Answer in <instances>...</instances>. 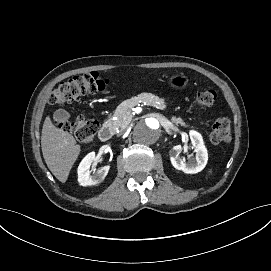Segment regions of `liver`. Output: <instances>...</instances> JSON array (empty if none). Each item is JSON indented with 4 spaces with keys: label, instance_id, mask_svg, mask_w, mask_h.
Wrapping results in <instances>:
<instances>
[{
    "label": "liver",
    "instance_id": "1",
    "mask_svg": "<svg viewBox=\"0 0 271 271\" xmlns=\"http://www.w3.org/2000/svg\"><path fill=\"white\" fill-rule=\"evenodd\" d=\"M41 148L50 171L59 181L65 182L79 154L74 138L56 128L46 117L41 130Z\"/></svg>",
    "mask_w": 271,
    "mask_h": 271
}]
</instances>
